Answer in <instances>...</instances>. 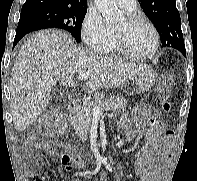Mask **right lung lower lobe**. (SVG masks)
<instances>
[{
	"instance_id": "right-lung-lower-lobe-1",
	"label": "right lung lower lobe",
	"mask_w": 197,
	"mask_h": 181,
	"mask_svg": "<svg viewBox=\"0 0 197 181\" xmlns=\"http://www.w3.org/2000/svg\"><path fill=\"white\" fill-rule=\"evenodd\" d=\"M46 28H51L49 25L38 21L33 18H28V17H20L18 27L16 30V36L14 39L13 47L20 41L22 37H24L26 34L40 30V29H46Z\"/></svg>"
}]
</instances>
